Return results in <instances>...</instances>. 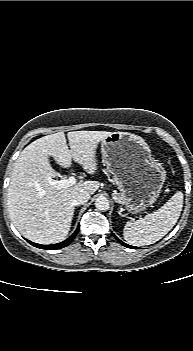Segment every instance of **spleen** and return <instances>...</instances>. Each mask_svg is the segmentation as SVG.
I'll return each instance as SVG.
<instances>
[{
    "label": "spleen",
    "mask_w": 193,
    "mask_h": 351,
    "mask_svg": "<svg viewBox=\"0 0 193 351\" xmlns=\"http://www.w3.org/2000/svg\"><path fill=\"white\" fill-rule=\"evenodd\" d=\"M183 207V193L176 192L160 209L134 222H126L124 239L132 245H150L164 237L176 224Z\"/></svg>",
    "instance_id": "spleen-1"
}]
</instances>
